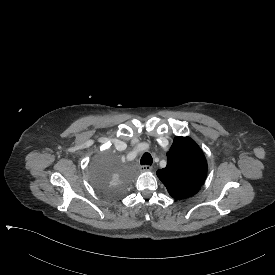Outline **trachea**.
I'll use <instances>...</instances> for the list:
<instances>
[{"mask_svg": "<svg viewBox=\"0 0 275 275\" xmlns=\"http://www.w3.org/2000/svg\"><path fill=\"white\" fill-rule=\"evenodd\" d=\"M153 163V159H152V156L146 152L145 154H143V156L141 157V161H140V164L141 165H152Z\"/></svg>", "mask_w": 275, "mask_h": 275, "instance_id": "1", "label": "trachea"}]
</instances>
